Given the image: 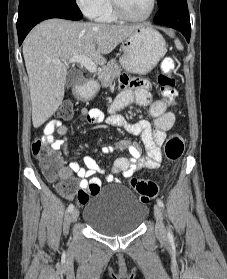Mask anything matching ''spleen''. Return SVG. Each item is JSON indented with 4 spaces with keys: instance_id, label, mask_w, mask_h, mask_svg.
I'll return each mask as SVG.
<instances>
[{
    "instance_id": "obj_1",
    "label": "spleen",
    "mask_w": 227,
    "mask_h": 279,
    "mask_svg": "<svg viewBox=\"0 0 227 279\" xmlns=\"http://www.w3.org/2000/svg\"><path fill=\"white\" fill-rule=\"evenodd\" d=\"M175 46L178 50H183V46L179 40H175Z\"/></svg>"
}]
</instances>
